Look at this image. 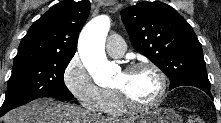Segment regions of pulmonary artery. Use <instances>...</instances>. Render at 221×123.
<instances>
[{
    "label": "pulmonary artery",
    "mask_w": 221,
    "mask_h": 123,
    "mask_svg": "<svg viewBox=\"0 0 221 123\" xmlns=\"http://www.w3.org/2000/svg\"><path fill=\"white\" fill-rule=\"evenodd\" d=\"M126 50L125 42L118 34H112L106 41V51L114 58L121 57Z\"/></svg>",
    "instance_id": "pulmonary-artery-1"
}]
</instances>
